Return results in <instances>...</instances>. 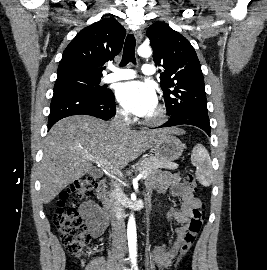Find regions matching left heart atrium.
Returning a JSON list of instances; mask_svg holds the SVG:
<instances>
[{
	"instance_id": "1",
	"label": "left heart atrium",
	"mask_w": 267,
	"mask_h": 270,
	"mask_svg": "<svg viewBox=\"0 0 267 270\" xmlns=\"http://www.w3.org/2000/svg\"><path fill=\"white\" fill-rule=\"evenodd\" d=\"M116 97L124 109L137 116H150L157 107V95L154 89L141 81L120 84Z\"/></svg>"
}]
</instances>
